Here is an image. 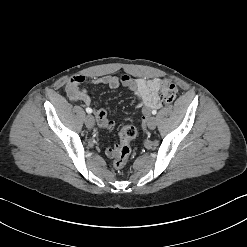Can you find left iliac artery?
I'll return each instance as SVG.
<instances>
[{
  "label": "left iliac artery",
  "instance_id": "left-iliac-artery-1",
  "mask_svg": "<svg viewBox=\"0 0 247 247\" xmlns=\"http://www.w3.org/2000/svg\"><path fill=\"white\" fill-rule=\"evenodd\" d=\"M156 113H157V111H156V110H153V111H152V114H153V115H155Z\"/></svg>",
  "mask_w": 247,
  "mask_h": 247
}]
</instances>
